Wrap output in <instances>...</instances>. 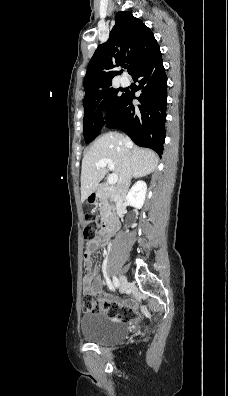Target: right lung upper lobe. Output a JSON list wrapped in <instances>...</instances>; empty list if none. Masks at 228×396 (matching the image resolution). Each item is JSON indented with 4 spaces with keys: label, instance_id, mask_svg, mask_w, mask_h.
Listing matches in <instances>:
<instances>
[{
    "label": "right lung upper lobe",
    "instance_id": "1",
    "mask_svg": "<svg viewBox=\"0 0 228 396\" xmlns=\"http://www.w3.org/2000/svg\"><path fill=\"white\" fill-rule=\"evenodd\" d=\"M115 21L107 43L98 46L89 62L84 78L85 97L112 86V79L120 74L116 68L126 63L133 76L158 46L152 31L130 12H119Z\"/></svg>",
    "mask_w": 228,
    "mask_h": 396
}]
</instances>
